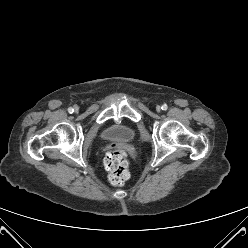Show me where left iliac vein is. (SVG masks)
<instances>
[{"mask_svg":"<svg viewBox=\"0 0 248 248\" xmlns=\"http://www.w3.org/2000/svg\"><path fill=\"white\" fill-rule=\"evenodd\" d=\"M156 111H157V112H160V111H161V107H160V106H157V107H156Z\"/></svg>","mask_w":248,"mask_h":248,"instance_id":"left-iliac-vein-1","label":"left iliac vein"}]
</instances>
